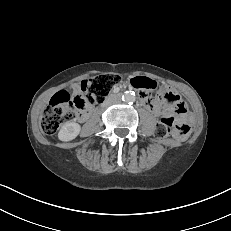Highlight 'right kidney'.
I'll return each mask as SVG.
<instances>
[{
  "mask_svg": "<svg viewBox=\"0 0 231 231\" xmlns=\"http://www.w3.org/2000/svg\"><path fill=\"white\" fill-rule=\"evenodd\" d=\"M81 126L75 122H66L60 129L58 137L62 141L75 139L80 133Z\"/></svg>",
  "mask_w": 231,
  "mask_h": 231,
  "instance_id": "obj_1",
  "label": "right kidney"
}]
</instances>
